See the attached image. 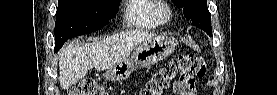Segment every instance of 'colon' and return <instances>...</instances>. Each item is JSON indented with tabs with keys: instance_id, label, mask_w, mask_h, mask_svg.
<instances>
[{
	"instance_id": "colon-1",
	"label": "colon",
	"mask_w": 277,
	"mask_h": 95,
	"mask_svg": "<svg viewBox=\"0 0 277 95\" xmlns=\"http://www.w3.org/2000/svg\"><path fill=\"white\" fill-rule=\"evenodd\" d=\"M206 74L203 57L194 54H182L168 61L146 84L141 95H163L170 84L179 75L202 78ZM104 86L92 79L81 80L69 88L68 95H104Z\"/></svg>"
}]
</instances>
